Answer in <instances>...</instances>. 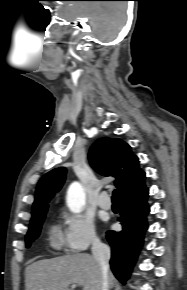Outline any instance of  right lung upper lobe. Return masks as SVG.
Returning a JSON list of instances; mask_svg holds the SVG:
<instances>
[{
	"label": "right lung upper lobe",
	"mask_w": 187,
	"mask_h": 290,
	"mask_svg": "<svg viewBox=\"0 0 187 290\" xmlns=\"http://www.w3.org/2000/svg\"><path fill=\"white\" fill-rule=\"evenodd\" d=\"M91 166L104 176H114L120 201L128 202L142 198L148 193L145 186V172L139 168L138 157L131 147L117 138H100L89 152ZM66 169L56 168L45 174L39 181L32 207V220L45 214L48 201L64 183Z\"/></svg>",
	"instance_id": "obj_1"
}]
</instances>
